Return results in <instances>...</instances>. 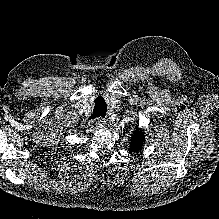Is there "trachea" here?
I'll return each mask as SVG.
<instances>
[{
	"label": "trachea",
	"instance_id": "1",
	"mask_svg": "<svg viewBox=\"0 0 219 219\" xmlns=\"http://www.w3.org/2000/svg\"><path fill=\"white\" fill-rule=\"evenodd\" d=\"M106 111H107V104H106V102L104 101L103 98L98 97L95 100L94 110H93V113L91 114V116L89 117V119L91 120V119H94L96 117L104 118L105 114H106Z\"/></svg>",
	"mask_w": 219,
	"mask_h": 219
}]
</instances>
